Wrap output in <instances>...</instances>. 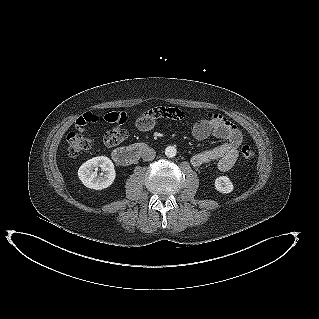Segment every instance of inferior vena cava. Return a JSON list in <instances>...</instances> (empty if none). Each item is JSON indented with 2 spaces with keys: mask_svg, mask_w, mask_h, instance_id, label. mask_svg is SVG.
I'll return each mask as SVG.
<instances>
[{
  "mask_svg": "<svg viewBox=\"0 0 319 319\" xmlns=\"http://www.w3.org/2000/svg\"><path fill=\"white\" fill-rule=\"evenodd\" d=\"M156 156V152L153 148H146L142 151V159L144 161H152Z\"/></svg>",
  "mask_w": 319,
  "mask_h": 319,
  "instance_id": "1",
  "label": "inferior vena cava"
}]
</instances>
